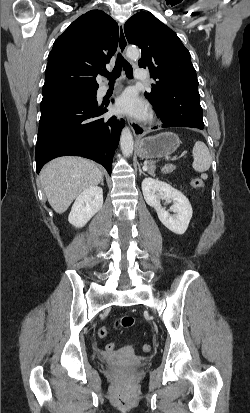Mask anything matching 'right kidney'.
Segmentation results:
<instances>
[{"label":"right kidney","mask_w":250,"mask_h":413,"mask_svg":"<svg viewBox=\"0 0 250 413\" xmlns=\"http://www.w3.org/2000/svg\"><path fill=\"white\" fill-rule=\"evenodd\" d=\"M102 206V188L98 186L90 187L76 198L68 216V221L76 228H81L101 210Z\"/></svg>","instance_id":"obj_1"}]
</instances>
